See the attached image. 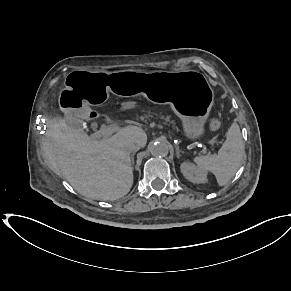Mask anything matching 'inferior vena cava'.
I'll use <instances>...</instances> for the list:
<instances>
[{"instance_id":"inferior-vena-cava-1","label":"inferior vena cava","mask_w":291,"mask_h":291,"mask_svg":"<svg viewBox=\"0 0 291 291\" xmlns=\"http://www.w3.org/2000/svg\"><path fill=\"white\" fill-rule=\"evenodd\" d=\"M140 145L134 142L126 143L124 149L127 153H134L140 149Z\"/></svg>"}]
</instances>
